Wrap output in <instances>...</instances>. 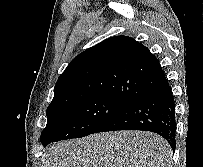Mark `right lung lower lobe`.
<instances>
[{"instance_id":"right-lung-lower-lobe-1","label":"right lung lower lobe","mask_w":203,"mask_h":167,"mask_svg":"<svg viewBox=\"0 0 203 167\" xmlns=\"http://www.w3.org/2000/svg\"><path fill=\"white\" fill-rule=\"evenodd\" d=\"M116 130H142L159 134L170 144L176 146L175 102L168 80L159 89L140 96L98 132Z\"/></svg>"}]
</instances>
